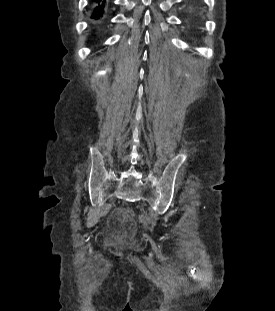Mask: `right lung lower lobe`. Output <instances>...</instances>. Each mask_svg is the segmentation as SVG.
Masks as SVG:
<instances>
[{"label": "right lung lower lobe", "instance_id": "obj_1", "mask_svg": "<svg viewBox=\"0 0 275 311\" xmlns=\"http://www.w3.org/2000/svg\"><path fill=\"white\" fill-rule=\"evenodd\" d=\"M93 1L96 2V7L94 8L91 18L99 19L103 14V7L105 4V0H93Z\"/></svg>", "mask_w": 275, "mask_h": 311}]
</instances>
